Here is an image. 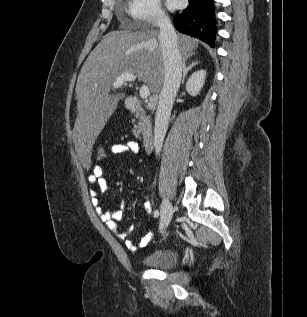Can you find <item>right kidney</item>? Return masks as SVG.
<instances>
[{"label":"right kidney","instance_id":"obj_1","mask_svg":"<svg viewBox=\"0 0 307 317\" xmlns=\"http://www.w3.org/2000/svg\"><path fill=\"white\" fill-rule=\"evenodd\" d=\"M206 78L205 70H198L194 72L186 82V91L191 96H196L200 93Z\"/></svg>","mask_w":307,"mask_h":317}]
</instances>
